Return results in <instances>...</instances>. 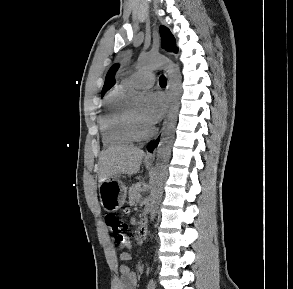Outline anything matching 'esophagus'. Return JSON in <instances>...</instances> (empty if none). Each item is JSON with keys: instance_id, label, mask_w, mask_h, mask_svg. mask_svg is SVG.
Returning a JSON list of instances; mask_svg holds the SVG:
<instances>
[{"instance_id": "34e87169", "label": "esophagus", "mask_w": 293, "mask_h": 289, "mask_svg": "<svg viewBox=\"0 0 293 289\" xmlns=\"http://www.w3.org/2000/svg\"><path fill=\"white\" fill-rule=\"evenodd\" d=\"M165 92H166V95L168 97V102H169L170 101V83H169V81H168L167 86L165 88ZM166 119H167V117L164 118L163 128L161 129L160 133L146 146V156H145L146 160L151 161V160L155 159L156 151L159 148V146L162 142V139H163Z\"/></svg>"}]
</instances>
